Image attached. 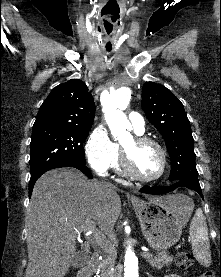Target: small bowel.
<instances>
[{
    "label": "small bowel",
    "instance_id": "c3829d8e",
    "mask_svg": "<svg viewBox=\"0 0 221 277\" xmlns=\"http://www.w3.org/2000/svg\"><path fill=\"white\" fill-rule=\"evenodd\" d=\"M165 277H182V276L177 275V274H169V275H167V276H165Z\"/></svg>",
    "mask_w": 221,
    "mask_h": 277
}]
</instances>
